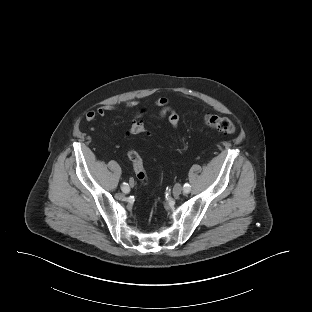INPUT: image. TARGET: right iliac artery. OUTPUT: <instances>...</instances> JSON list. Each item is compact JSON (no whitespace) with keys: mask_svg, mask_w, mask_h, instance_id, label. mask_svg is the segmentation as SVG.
<instances>
[{"mask_svg":"<svg viewBox=\"0 0 312 312\" xmlns=\"http://www.w3.org/2000/svg\"><path fill=\"white\" fill-rule=\"evenodd\" d=\"M121 188L124 193H128L130 191L128 184L125 182L123 183Z\"/></svg>","mask_w":312,"mask_h":312,"instance_id":"obj_1","label":"right iliac artery"}]
</instances>
